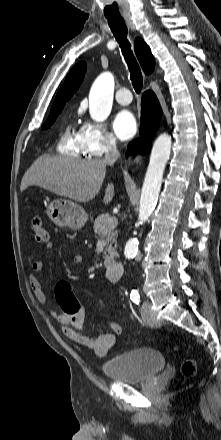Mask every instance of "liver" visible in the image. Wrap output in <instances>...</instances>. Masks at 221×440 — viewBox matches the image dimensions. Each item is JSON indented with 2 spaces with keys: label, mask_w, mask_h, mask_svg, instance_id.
I'll return each instance as SVG.
<instances>
[{
  "label": "liver",
  "mask_w": 221,
  "mask_h": 440,
  "mask_svg": "<svg viewBox=\"0 0 221 440\" xmlns=\"http://www.w3.org/2000/svg\"><path fill=\"white\" fill-rule=\"evenodd\" d=\"M107 164L100 158L77 160L61 156H41L24 174L20 190L35 185L57 195L86 203L99 193ZM113 196L114 185L108 183L103 202L108 204Z\"/></svg>",
  "instance_id": "1"
}]
</instances>
